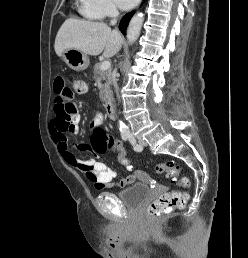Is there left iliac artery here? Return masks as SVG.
I'll return each instance as SVG.
<instances>
[{
  "label": "left iliac artery",
  "instance_id": "44dca946",
  "mask_svg": "<svg viewBox=\"0 0 248 258\" xmlns=\"http://www.w3.org/2000/svg\"><path fill=\"white\" fill-rule=\"evenodd\" d=\"M129 141L132 144L135 151L140 152L142 150V147L139 144H137L136 139L133 135L129 136Z\"/></svg>",
  "mask_w": 248,
  "mask_h": 258
}]
</instances>
